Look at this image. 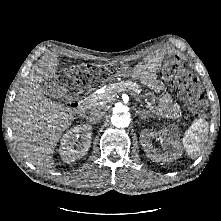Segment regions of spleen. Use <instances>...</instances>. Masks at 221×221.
<instances>
[{
    "label": "spleen",
    "instance_id": "1",
    "mask_svg": "<svg viewBox=\"0 0 221 221\" xmlns=\"http://www.w3.org/2000/svg\"><path fill=\"white\" fill-rule=\"evenodd\" d=\"M208 133V122L202 118L195 120L191 127L185 132L182 143L191 158L196 157L201 152L204 142L207 141Z\"/></svg>",
    "mask_w": 221,
    "mask_h": 221
}]
</instances>
